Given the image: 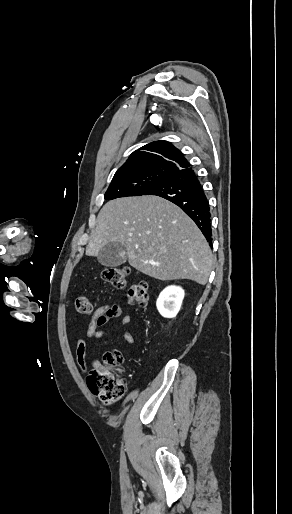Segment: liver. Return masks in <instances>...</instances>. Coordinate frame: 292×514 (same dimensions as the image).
<instances>
[{
	"label": "liver",
	"instance_id": "obj_1",
	"mask_svg": "<svg viewBox=\"0 0 292 514\" xmlns=\"http://www.w3.org/2000/svg\"><path fill=\"white\" fill-rule=\"evenodd\" d=\"M120 242L132 268L157 280L207 284L213 256L202 232L178 206L159 196L110 200L97 216L86 256Z\"/></svg>",
	"mask_w": 292,
	"mask_h": 514
}]
</instances>
